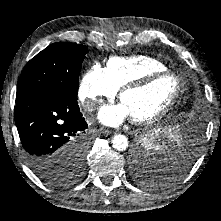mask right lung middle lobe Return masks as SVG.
Here are the masks:
<instances>
[{"label": "right lung middle lobe", "instance_id": "dd1d6c3e", "mask_svg": "<svg viewBox=\"0 0 221 221\" xmlns=\"http://www.w3.org/2000/svg\"><path fill=\"white\" fill-rule=\"evenodd\" d=\"M88 52L83 45L58 42L38 53L24 67L19 79L16 102L43 92H62L77 98L81 64ZM90 143L78 145L64 167L48 163L39 166L37 175L45 182L66 186L82 177Z\"/></svg>", "mask_w": 221, "mask_h": 221}]
</instances>
